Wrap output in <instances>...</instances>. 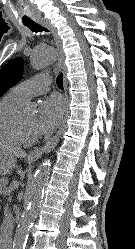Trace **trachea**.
Segmentation results:
<instances>
[{"instance_id": "1", "label": "trachea", "mask_w": 135, "mask_h": 249, "mask_svg": "<svg viewBox=\"0 0 135 249\" xmlns=\"http://www.w3.org/2000/svg\"><path fill=\"white\" fill-rule=\"evenodd\" d=\"M25 26H27L30 30L33 32H43V31H48L46 28L42 27L41 25L35 23V22H26L24 23ZM57 86L63 90V75L62 73L59 74L57 78Z\"/></svg>"}]
</instances>
